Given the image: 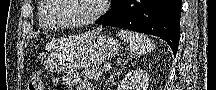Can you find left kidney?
<instances>
[{"label": "left kidney", "instance_id": "1", "mask_svg": "<svg viewBox=\"0 0 216 90\" xmlns=\"http://www.w3.org/2000/svg\"><path fill=\"white\" fill-rule=\"evenodd\" d=\"M149 74L145 70H132L121 80L118 90H148Z\"/></svg>", "mask_w": 216, "mask_h": 90}]
</instances>
